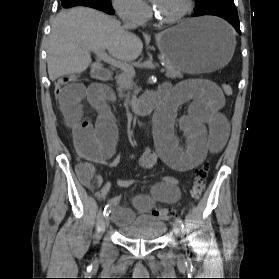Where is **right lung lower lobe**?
Returning a JSON list of instances; mask_svg holds the SVG:
<instances>
[{"instance_id":"98d812e1","label":"right lung lower lobe","mask_w":279,"mask_h":279,"mask_svg":"<svg viewBox=\"0 0 279 279\" xmlns=\"http://www.w3.org/2000/svg\"><path fill=\"white\" fill-rule=\"evenodd\" d=\"M62 6L65 8L73 6H88L101 11H104L108 14H114L112 6H106L102 4L99 0H61Z\"/></svg>"}]
</instances>
